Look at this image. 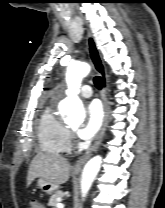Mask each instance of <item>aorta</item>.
<instances>
[{"label": "aorta", "instance_id": "obj_1", "mask_svg": "<svg viewBox=\"0 0 165 208\" xmlns=\"http://www.w3.org/2000/svg\"><path fill=\"white\" fill-rule=\"evenodd\" d=\"M91 68L87 63H71L67 69L66 98L59 104L61 115L66 122L83 120L85 117L81 100L78 97L82 79L87 76ZM102 163V157L91 158L84 166L81 178V196L84 199L97 176Z\"/></svg>", "mask_w": 165, "mask_h": 208}]
</instances>
